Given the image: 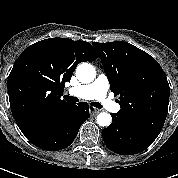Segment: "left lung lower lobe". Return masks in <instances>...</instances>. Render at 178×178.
Returning <instances> with one entry per match:
<instances>
[{
    "label": "left lung lower lobe",
    "mask_w": 178,
    "mask_h": 178,
    "mask_svg": "<svg viewBox=\"0 0 178 178\" xmlns=\"http://www.w3.org/2000/svg\"><path fill=\"white\" fill-rule=\"evenodd\" d=\"M111 116L112 123L102 131V136L107 148L117 154L140 153L147 149L159 135L128 122L116 113Z\"/></svg>",
    "instance_id": "obj_1"
}]
</instances>
